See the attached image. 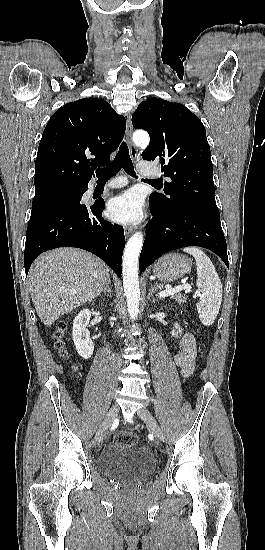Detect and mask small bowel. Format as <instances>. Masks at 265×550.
Returning <instances> with one entry per match:
<instances>
[{
	"label": "small bowel",
	"mask_w": 265,
	"mask_h": 550,
	"mask_svg": "<svg viewBox=\"0 0 265 550\" xmlns=\"http://www.w3.org/2000/svg\"><path fill=\"white\" fill-rule=\"evenodd\" d=\"M197 357L196 341L192 334L184 333L180 340V350L175 354L174 361L181 369L184 377H189L195 366Z\"/></svg>",
	"instance_id": "c3829d8e"
}]
</instances>
